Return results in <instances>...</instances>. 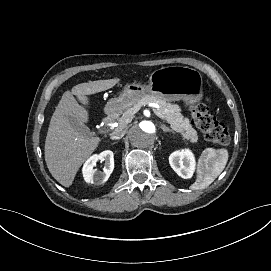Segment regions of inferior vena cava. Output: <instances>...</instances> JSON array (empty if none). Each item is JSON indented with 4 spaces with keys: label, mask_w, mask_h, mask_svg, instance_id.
Returning a JSON list of instances; mask_svg holds the SVG:
<instances>
[{
    "label": "inferior vena cava",
    "mask_w": 271,
    "mask_h": 271,
    "mask_svg": "<svg viewBox=\"0 0 271 271\" xmlns=\"http://www.w3.org/2000/svg\"><path fill=\"white\" fill-rule=\"evenodd\" d=\"M125 135L124 129H114L111 134L112 140L121 139Z\"/></svg>",
    "instance_id": "602c4592"
}]
</instances>
